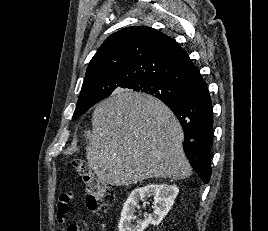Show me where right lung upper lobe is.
<instances>
[{"label": "right lung upper lobe", "mask_w": 268, "mask_h": 231, "mask_svg": "<svg viewBox=\"0 0 268 231\" xmlns=\"http://www.w3.org/2000/svg\"><path fill=\"white\" fill-rule=\"evenodd\" d=\"M202 79L187 52L171 37L147 26L109 36L91 59L78 102L93 103L121 88L159 81L185 90Z\"/></svg>", "instance_id": "obj_1"}]
</instances>
